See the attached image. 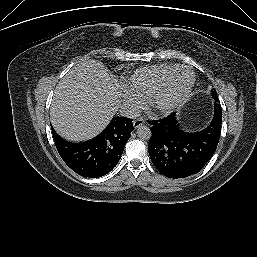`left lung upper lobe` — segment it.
I'll list each match as a JSON object with an SVG mask.
<instances>
[{
  "mask_svg": "<svg viewBox=\"0 0 257 257\" xmlns=\"http://www.w3.org/2000/svg\"><path fill=\"white\" fill-rule=\"evenodd\" d=\"M211 92H212V97H213V99H214L215 101H219L216 91H215L214 89H212Z\"/></svg>",
  "mask_w": 257,
  "mask_h": 257,
  "instance_id": "obj_1",
  "label": "left lung upper lobe"
}]
</instances>
